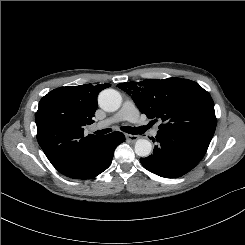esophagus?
I'll return each instance as SVG.
<instances>
[{
    "label": "esophagus",
    "instance_id": "esophagus-1",
    "mask_svg": "<svg viewBox=\"0 0 245 245\" xmlns=\"http://www.w3.org/2000/svg\"><path fill=\"white\" fill-rule=\"evenodd\" d=\"M125 137L130 142H135L139 138L138 135H131V134H126Z\"/></svg>",
    "mask_w": 245,
    "mask_h": 245
}]
</instances>
